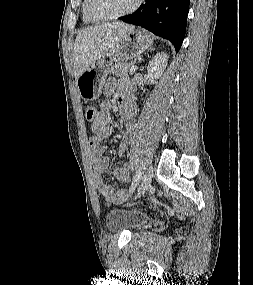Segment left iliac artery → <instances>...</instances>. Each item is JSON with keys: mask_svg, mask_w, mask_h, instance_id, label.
<instances>
[{"mask_svg": "<svg viewBox=\"0 0 253 285\" xmlns=\"http://www.w3.org/2000/svg\"><path fill=\"white\" fill-rule=\"evenodd\" d=\"M145 167H146V161H143L141 163V166L139 167L138 171L136 172V175H135L133 181H132V184H131L130 189H129V193H133L134 190L136 189V187H137V185L141 179V176L145 170Z\"/></svg>", "mask_w": 253, "mask_h": 285, "instance_id": "obj_1", "label": "left iliac artery"}]
</instances>
